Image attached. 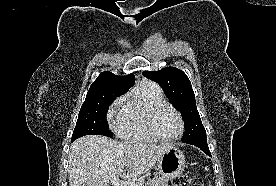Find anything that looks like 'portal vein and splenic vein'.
Returning <instances> with one entry per match:
<instances>
[{
    "mask_svg": "<svg viewBox=\"0 0 276 186\" xmlns=\"http://www.w3.org/2000/svg\"><path fill=\"white\" fill-rule=\"evenodd\" d=\"M111 182L114 186H139V184L132 181H121L119 177H114Z\"/></svg>",
    "mask_w": 276,
    "mask_h": 186,
    "instance_id": "portal-vein-and-splenic-vein-1",
    "label": "portal vein and splenic vein"
}]
</instances>
